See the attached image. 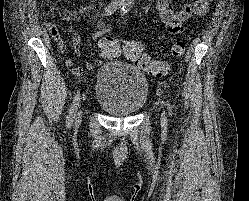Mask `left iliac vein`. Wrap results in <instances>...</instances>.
Instances as JSON below:
<instances>
[{
  "mask_svg": "<svg viewBox=\"0 0 249 201\" xmlns=\"http://www.w3.org/2000/svg\"><path fill=\"white\" fill-rule=\"evenodd\" d=\"M161 127H162L163 129H166V128H167V119H166V117H165L164 114H162V116H161Z\"/></svg>",
  "mask_w": 249,
  "mask_h": 201,
  "instance_id": "4c4485c4",
  "label": "left iliac vein"
}]
</instances>
